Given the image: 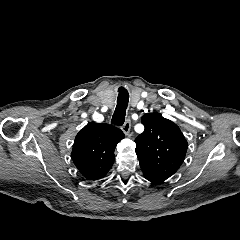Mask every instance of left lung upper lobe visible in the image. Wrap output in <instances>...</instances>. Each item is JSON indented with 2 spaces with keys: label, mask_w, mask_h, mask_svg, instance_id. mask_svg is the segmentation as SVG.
Wrapping results in <instances>:
<instances>
[{
  "label": "left lung upper lobe",
  "mask_w": 240,
  "mask_h": 240,
  "mask_svg": "<svg viewBox=\"0 0 240 240\" xmlns=\"http://www.w3.org/2000/svg\"><path fill=\"white\" fill-rule=\"evenodd\" d=\"M141 122L145 130L135 140L141 169L167 180L183 163L187 141L179 127L159 113L145 114Z\"/></svg>",
  "instance_id": "1"
}]
</instances>
